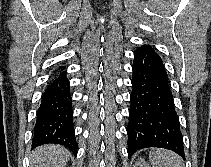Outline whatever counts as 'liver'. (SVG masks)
<instances>
[{"label": "liver", "mask_w": 211, "mask_h": 167, "mask_svg": "<svg viewBox=\"0 0 211 167\" xmlns=\"http://www.w3.org/2000/svg\"><path fill=\"white\" fill-rule=\"evenodd\" d=\"M70 151L59 145H44L31 154V167H65Z\"/></svg>", "instance_id": "6515ba94"}]
</instances>
